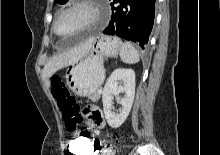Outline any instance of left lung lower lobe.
I'll return each instance as SVG.
<instances>
[{"instance_id": "1", "label": "left lung lower lobe", "mask_w": 220, "mask_h": 155, "mask_svg": "<svg viewBox=\"0 0 220 155\" xmlns=\"http://www.w3.org/2000/svg\"><path fill=\"white\" fill-rule=\"evenodd\" d=\"M156 0H113L112 16L104 34L119 36L144 49L155 15Z\"/></svg>"}]
</instances>
